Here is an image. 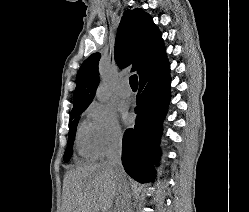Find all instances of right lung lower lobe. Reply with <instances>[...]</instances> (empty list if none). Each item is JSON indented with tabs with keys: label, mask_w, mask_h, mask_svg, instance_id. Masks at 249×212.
<instances>
[{
	"label": "right lung lower lobe",
	"mask_w": 249,
	"mask_h": 212,
	"mask_svg": "<svg viewBox=\"0 0 249 212\" xmlns=\"http://www.w3.org/2000/svg\"><path fill=\"white\" fill-rule=\"evenodd\" d=\"M169 71L165 56L139 76L135 126L123 136L122 164L140 183L152 182L155 177L152 163L171 97Z\"/></svg>",
	"instance_id": "right-lung-lower-lobe-1"
}]
</instances>
